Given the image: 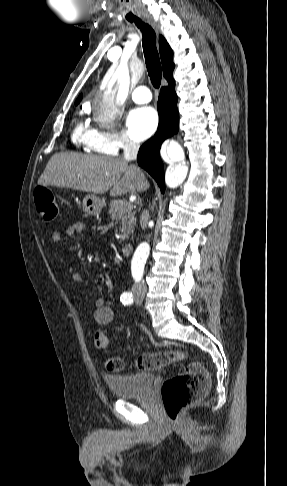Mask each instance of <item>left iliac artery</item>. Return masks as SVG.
Wrapping results in <instances>:
<instances>
[{
    "label": "left iliac artery",
    "mask_w": 287,
    "mask_h": 486,
    "mask_svg": "<svg viewBox=\"0 0 287 486\" xmlns=\"http://www.w3.org/2000/svg\"><path fill=\"white\" fill-rule=\"evenodd\" d=\"M121 302H122L124 305H125V304L130 305V304H132L133 299H132V300H129V299H121Z\"/></svg>",
    "instance_id": "1"
}]
</instances>
